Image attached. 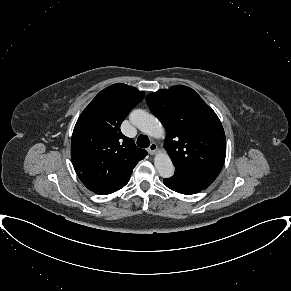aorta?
<instances>
[{"label":"aorta","mask_w":291,"mask_h":291,"mask_svg":"<svg viewBox=\"0 0 291 291\" xmlns=\"http://www.w3.org/2000/svg\"><path fill=\"white\" fill-rule=\"evenodd\" d=\"M130 121L140 131L151 137L162 138L165 134V130L159 120L144 110H134L130 114ZM154 165L161 177L170 178L173 176L175 169L169 155L165 151L156 154Z\"/></svg>","instance_id":"762f6f07"}]
</instances>
